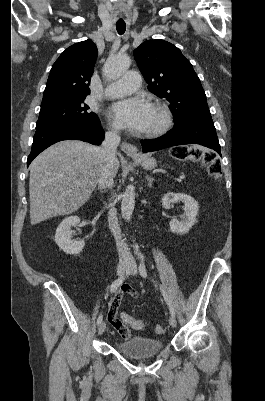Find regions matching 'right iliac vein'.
<instances>
[{
	"label": "right iliac vein",
	"instance_id": "obj_1",
	"mask_svg": "<svg viewBox=\"0 0 265 401\" xmlns=\"http://www.w3.org/2000/svg\"><path fill=\"white\" fill-rule=\"evenodd\" d=\"M129 267H130L129 263H122V262L119 263L117 266V275L122 276L125 273V271L129 269ZM105 328H106L105 323L101 322L98 327V333L100 335L103 334L105 331Z\"/></svg>",
	"mask_w": 265,
	"mask_h": 401
}]
</instances>
